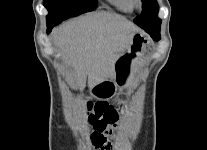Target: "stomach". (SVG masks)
<instances>
[{
	"instance_id": "obj_1",
	"label": "stomach",
	"mask_w": 207,
	"mask_h": 150,
	"mask_svg": "<svg viewBox=\"0 0 207 150\" xmlns=\"http://www.w3.org/2000/svg\"><path fill=\"white\" fill-rule=\"evenodd\" d=\"M147 38L141 32H136L131 40L129 49L120 54L114 64V77L90 88V94L98 99H108L113 96L118 86L127 82L130 67L144 53Z\"/></svg>"
}]
</instances>
